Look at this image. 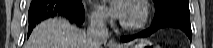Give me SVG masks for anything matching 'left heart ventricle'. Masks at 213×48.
Returning <instances> with one entry per match:
<instances>
[{"label":"left heart ventricle","instance_id":"left-heart-ventricle-1","mask_svg":"<svg viewBox=\"0 0 213 48\" xmlns=\"http://www.w3.org/2000/svg\"><path fill=\"white\" fill-rule=\"evenodd\" d=\"M139 17H140L139 11L136 8L129 6L127 9V14L124 21L134 22V21H137Z\"/></svg>","mask_w":213,"mask_h":48}]
</instances>
